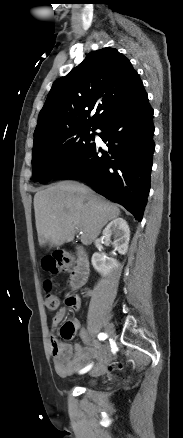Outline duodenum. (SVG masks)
Listing matches in <instances>:
<instances>
[{
  "mask_svg": "<svg viewBox=\"0 0 183 438\" xmlns=\"http://www.w3.org/2000/svg\"><path fill=\"white\" fill-rule=\"evenodd\" d=\"M89 272V261L85 250L80 248L78 250V260L72 270L69 285L72 289H79L87 279Z\"/></svg>",
  "mask_w": 183,
  "mask_h": 438,
  "instance_id": "duodenum-1",
  "label": "duodenum"
}]
</instances>
